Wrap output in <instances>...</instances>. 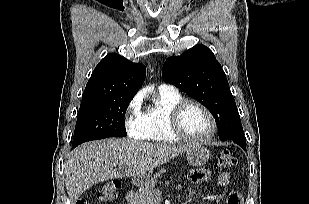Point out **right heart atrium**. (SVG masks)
Returning <instances> with one entry per match:
<instances>
[{
	"instance_id": "right-heart-atrium-1",
	"label": "right heart atrium",
	"mask_w": 309,
	"mask_h": 204,
	"mask_svg": "<svg viewBox=\"0 0 309 204\" xmlns=\"http://www.w3.org/2000/svg\"><path fill=\"white\" fill-rule=\"evenodd\" d=\"M141 106V98L135 96L126 108L125 126L129 136L133 138H141L143 134Z\"/></svg>"
}]
</instances>
